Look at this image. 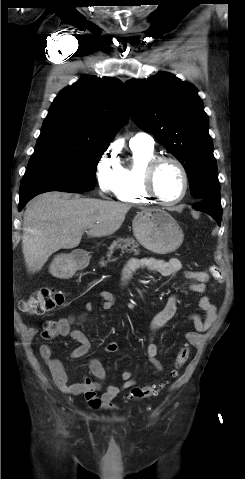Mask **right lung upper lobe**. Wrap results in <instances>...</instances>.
<instances>
[{
  "mask_svg": "<svg viewBox=\"0 0 245 479\" xmlns=\"http://www.w3.org/2000/svg\"><path fill=\"white\" fill-rule=\"evenodd\" d=\"M128 119L122 83L84 75L58 94L41 131L64 132L108 148L117 127Z\"/></svg>",
  "mask_w": 245,
  "mask_h": 479,
  "instance_id": "cb5924a9",
  "label": "right lung upper lobe"
}]
</instances>
